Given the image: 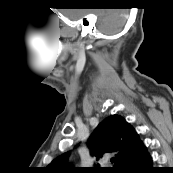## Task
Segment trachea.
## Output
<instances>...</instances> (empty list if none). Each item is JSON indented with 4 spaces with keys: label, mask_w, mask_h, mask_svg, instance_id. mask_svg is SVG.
Wrapping results in <instances>:
<instances>
[{
    "label": "trachea",
    "mask_w": 173,
    "mask_h": 173,
    "mask_svg": "<svg viewBox=\"0 0 173 173\" xmlns=\"http://www.w3.org/2000/svg\"><path fill=\"white\" fill-rule=\"evenodd\" d=\"M114 161V158L113 159H111V162H113Z\"/></svg>",
    "instance_id": "3493384b"
}]
</instances>
